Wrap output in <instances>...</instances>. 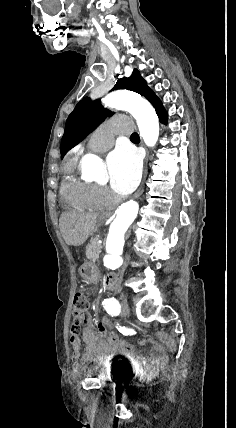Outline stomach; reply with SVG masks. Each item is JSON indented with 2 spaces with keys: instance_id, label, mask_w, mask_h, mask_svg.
I'll list each match as a JSON object with an SVG mask.
<instances>
[{
  "instance_id": "1",
  "label": "stomach",
  "mask_w": 236,
  "mask_h": 428,
  "mask_svg": "<svg viewBox=\"0 0 236 428\" xmlns=\"http://www.w3.org/2000/svg\"><path fill=\"white\" fill-rule=\"evenodd\" d=\"M78 275L80 279H84L85 283H89L93 287H96L101 281V276L98 274V265L93 264L90 260H87L82 265Z\"/></svg>"
}]
</instances>
